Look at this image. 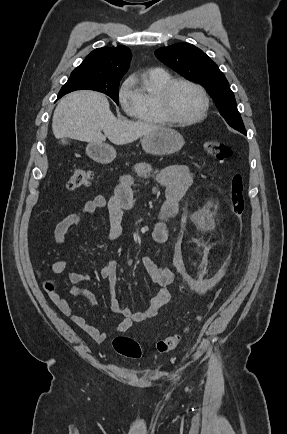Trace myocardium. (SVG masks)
Here are the masks:
<instances>
[{
  "instance_id": "myocardium-1",
  "label": "myocardium",
  "mask_w": 287,
  "mask_h": 434,
  "mask_svg": "<svg viewBox=\"0 0 287 434\" xmlns=\"http://www.w3.org/2000/svg\"><path fill=\"white\" fill-rule=\"evenodd\" d=\"M179 84H185V85H189V86L193 87L194 89H196L199 92V94L201 96V99H202L201 110L193 118L178 119V118L174 117L173 114L171 113L170 96H171L173 89ZM157 102H158L159 110H160L162 116L164 117V119L168 123L174 124V125H191V124L200 122L206 117L207 112H208V108H209V97H208L206 90L200 84H198L192 80L186 79V78H172L159 91L158 97H157Z\"/></svg>"
}]
</instances>
